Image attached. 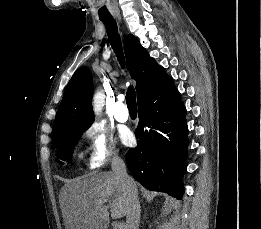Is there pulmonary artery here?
<instances>
[{"instance_id":"obj_1","label":"pulmonary artery","mask_w":261,"mask_h":229,"mask_svg":"<svg viewBox=\"0 0 261 229\" xmlns=\"http://www.w3.org/2000/svg\"><path fill=\"white\" fill-rule=\"evenodd\" d=\"M123 101L124 96L120 95L114 108L115 119L119 122H126L129 119V112Z\"/></svg>"}]
</instances>
